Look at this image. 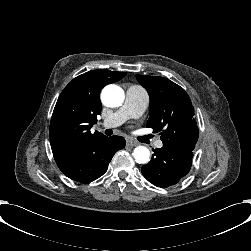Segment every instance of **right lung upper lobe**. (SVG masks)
<instances>
[{"mask_svg":"<svg viewBox=\"0 0 251 251\" xmlns=\"http://www.w3.org/2000/svg\"><path fill=\"white\" fill-rule=\"evenodd\" d=\"M127 73L92 70L74 78L61 92L50 123V145L54 159L64 171L88 156L105 136L90 128L101 113L100 91Z\"/></svg>","mask_w":251,"mask_h":251,"instance_id":"obj_1","label":"right lung upper lobe"}]
</instances>
